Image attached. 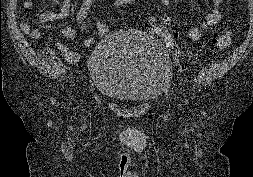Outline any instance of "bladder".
Instances as JSON below:
<instances>
[{
  "label": "bladder",
  "mask_w": 253,
  "mask_h": 177,
  "mask_svg": "<svg viewBox=\"0 0 253 177\" xmlns=\"http://www.w3.org/2000/svg\"><path fill=\"white\" fill-rule=\"evenodd\" d=\"M89 66L96 91L121 102L155 100L172 77L164 46L130 30L103 39L93 51Z\"/></svg>",
  "instance_id": "1"
}]
</instances>
